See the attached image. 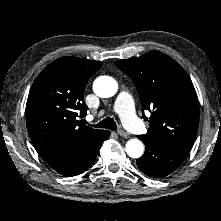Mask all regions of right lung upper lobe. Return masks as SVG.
Instances as JSON below:
<instances>
[{"mask_svg": "<svg viewBox=\"0 0 221 221\" xmlns=\"http://www.w3.org/2000/svg\"><path fill=\"white\" fill-rule=\"evenodd\" d=\"M102 66L100 61L61 57L35 79L26 104L29 137L39 150L61 143L83 141L104 130L81 124L88 79Z\"/></svg>", "mask_w": 221, "mask_h": 221, "instance_id": "right-lung-upper-lobe-1", "label": "right lung upper lobe"}]
</instances>
